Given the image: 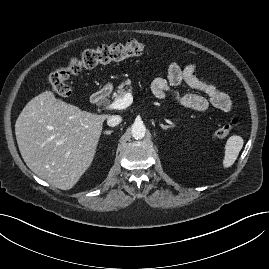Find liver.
Listing matches in <instances>:
<instances>
[{"label": "liver", "instance_id": "6515ba94", "mask_svg": "<svg viewBox=\"0 0 269 269\" xmlns=\"http://www.w3.org/2000/svg\"><path fill=\"white\" fill-rule=\"evenodd\" d=\"M108 117L83 111L45 91L31 99L16 120L21 156L37 176L69 190L91 166Z\"/></svg>", "mask_w": 269, "mask_h": 269}]
</instances>
